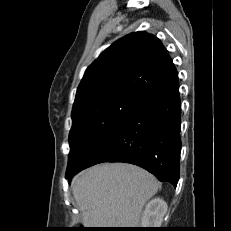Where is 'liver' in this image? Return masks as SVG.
<instances>
[{
    "mask_svg": "<svg viewBox=\"0 0 231 231\" xmlns=\"http://www.w3.org/2000/svg\"><path fill=\"white\" fill-rule=\"evenodd\" d=\"M71 186L87 228H137L144 205L160 187L153 175L126 163L93 166Z\"/></svg>",
    "mask_w": 231,
    "mask_h": 231,
    "instance_id": "1",
    "label": "liver"
}]
</instances>
